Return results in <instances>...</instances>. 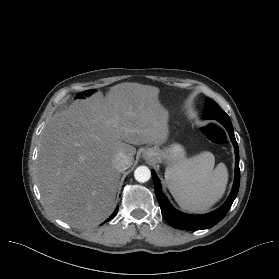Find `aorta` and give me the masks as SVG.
Segmentation results:
<instances>
[{"instance_id":"1","label":"aorta","mask_w":279,"mask_h":279,"mask_svg":"<svg viewBox=\"0 0 279 279\" xmlns=\"http://www.w3.org/2000/svg\"><path fill=\"white\" fill-rule=\"evenodd\" d=\"M134 177L138 182H147L151 178V171L147 166H139L134 171Z\"/></svg>"}]
</instances>
